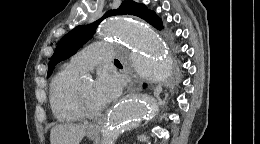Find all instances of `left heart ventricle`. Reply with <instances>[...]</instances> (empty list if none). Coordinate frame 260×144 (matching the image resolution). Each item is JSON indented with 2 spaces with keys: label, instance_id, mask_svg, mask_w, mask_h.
I'll return each instance as SVG.
<instances>
[{
  "label": "left heart ventricle",
  "instance_id": "b2bd125f",
  "mask_svg": "<svg viewBox=\"0 0 260 144\" xmlns=\"http://www.w3.org/2000/svg\"><path fill=\"white\" fill-rule=\"evenodd\" d=\"M94 87L95 84L92 81L85 80L82 83L83 94L87 105L92 110H99L102 107L95 97Z\"/></svg>",
  "mask_w": 260,
  "mask_h": 144
}]
</instances>
